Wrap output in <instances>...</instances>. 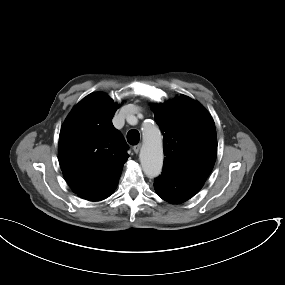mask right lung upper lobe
Listing matches in <instances>:
<instances>
[{
    "mask_svg": "<svg viewBox=\"0 0 285 285\" xmlns=\"http://www.w3.org/2000/svg\"><path fill=\"white\" fill-rule=\"evenodd\" d=\"M118 107L106 94H89L61 128L59 164L70 188L83 199L109 197L129 157L126 141L111 121Z\"/></svg>",
    "mask_w": 285,
    "mask_h": 285,
    "instance_id": "obj_1",
    "label": "right lung upper lobe"
}]
</instances>
